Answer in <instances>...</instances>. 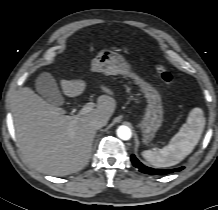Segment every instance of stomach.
Here are the masks:
<instances>
[{
	"label": "stomach",
	"mask_w": 218,
	"mask_h": 210,
	"mask_svg": "<svg viewBox=\"0 0 218 210\" xmlns=\"http://www.w3.org/2000/svg\"><path fill=\"white\" fill-rule=\"evenodd\" d=\"M92 70L106 75H125L140 87L147 105L138 127L142 132L143 143H151L163 123L164 110L159 91L152 84L135 74L126 59L112 50L100 51L92 61Z\"/></svg>",
	"instance_id": "0dacf381"
}]
</instances>
